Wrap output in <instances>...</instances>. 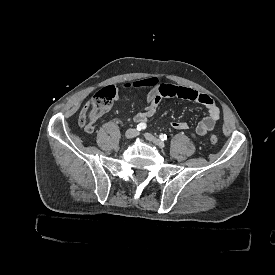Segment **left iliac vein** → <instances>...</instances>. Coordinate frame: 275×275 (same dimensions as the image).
I'll return each instance as SVG.
<instances>
[{"instance_id": "left-iliac-vein-1", "label": "left iliac vein", "mask_w": 275, "mask_h": 275, "mask_svg": "<svg viewBox=\"0 0 275 275\" xmlns=\"http://www.w3.org/2000/svg\"><path fill=\"white\" fill-rule=\"evenodd\" d=\"M145 138H146L148 141H150V142L156 144L157 146H159V147L162 148V149L165 147V144H164V142H163L162 140L158 139L157 137L153 136V135L150 134V133H145Z\"/></svg>"}]
</instances>
